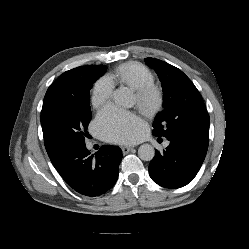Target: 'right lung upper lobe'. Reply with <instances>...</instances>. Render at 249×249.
<instances>
[{"label": "right lung upper lobe", "instance_id": "cb5924a9", "mask_svg": "<svg viewBox=\"0 0 249 249\" xmlns=\"http://www.w3.org/2000/svg\"><path fill=\"white\" fill-rule=\"evenodd\" d=\"M82 67H77L75 69L66 71L62 75H60L48 88L44 101L42 110L46 109L49 105H51L57 96V93L67 87L69 83H71L81 72Z\"/></svg>", "mask_w": 249, "mask_h": 249}]
</instances>
